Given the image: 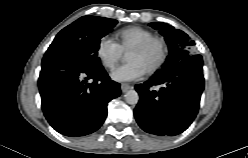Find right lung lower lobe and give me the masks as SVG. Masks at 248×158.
<instances>
[{"label": "right lung lower lobe", "instance_id": "1", "mask_svg": "<svg viewBox=\"0 0 248 158\" xmlns=\"http://www.w3.org/2000/svg\"><path fill=\"white\" fill-rule=\"evenodd\" d=\"M42 109L50 125L66 136L96 131L107 116V104L120 95L96 56L46 52L38 80Z\"/></svg>", "mask_w": 248, "mask_h": 158}]
</instances>
